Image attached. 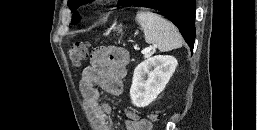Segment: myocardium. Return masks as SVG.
I'll use <instances>...</instances> for the list:
<instances>
[{
  "label": "myocardium",
  "instance_id": "myocardium-1",
  "mask_svg": "<svg viewBox=\"0 0 257 130\" xmlns=\"http://www.w3.org/2000/svg\"><path fill=\"white\" fill-rule=\"evenodd\" d=\"M106 2V0H92L91 3L95 7H99L103 5Z\"/></svg>",
  "mask_w": 257,
  "mask_h": 130
}]
</instances>
